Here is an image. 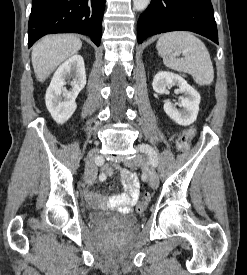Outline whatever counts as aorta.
<instances>
[{
    "instance_id": "obj_1",
    "label": "aorta",
    "mask_w": 247,
    "mask_h": 275,
    "mask_svg": "<svg viewBox=\"0 0 247 275\" xmlns=\"http://www.w3.org/2000/svg\"><path fill=\"white\" fill-rule=\"evenodd\" d=\"M150 0H133V6L137 11H143L149 5Z\"/></svg>"
}]
</instances>
